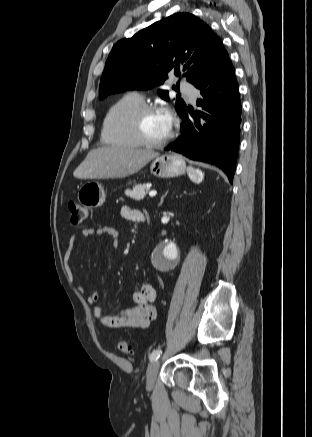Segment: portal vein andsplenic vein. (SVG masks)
<instances>
[{
	"label": "portal vein and splenic vein",
	"mask_w": 312,
	"mask_h": 437,
	"mask_svg": "<svg viewBox=\"0 0 312 437\" xmlns=\"http://www.w3.org/2000/svg\"><path fill=\"white\" fill-rule=\"evenodd\" d=\"M156 194H157V191L153 190L149 193V196L154 197V196H156Z\"/></svg>",
	"instance_id": "1"
}]
</instances>
